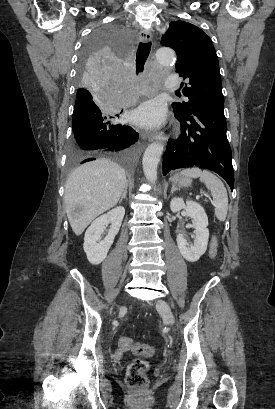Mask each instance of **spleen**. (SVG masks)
I'll list each match as a JSON object with an SVG mask.
<instances>
[{"label":"spleen","instance_id":"spleen-1","mask_svg":"<svg viewBox=\"0 0 275 409\" xmlns=\"http://www.w3.org/2000/svg\"><path fill=\"white\" fill-rule=\"evenodd\" d=\"M181 174L198 178L201 182H205L207 188L211 190L215 207V215L218 221H226L228 213V194L227 190L220 178L209 172V170H201V168H185L181 170Z\"/></svg>","mask_w":275,"mask_h":409}]
</instances>
